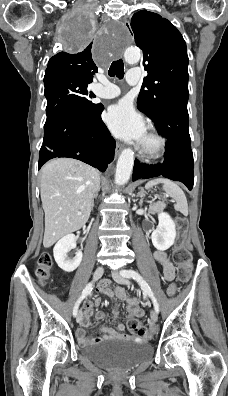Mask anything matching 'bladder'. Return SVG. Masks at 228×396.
Masks as SVG:
<instances>
[{"label":"bladder","mask_w":228,"mask_h":396,"mask_svg":"<svg viewBox=\"0 0 228 396\" xmlns=\"http://www.w3.org/2000/svg\"><path fill=\"white\" fill-rule=\"evenodd\" d=\"M80 352L85 359L99 367L124 371L150 360L153 347L133 340L106 339L84 346Z\"/></svg>","instance_id":"31cf9c89"}]
</instances>
